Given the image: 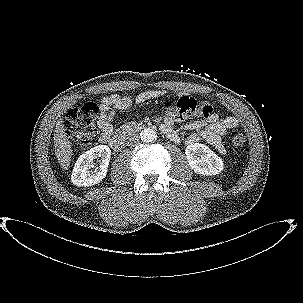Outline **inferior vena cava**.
<instances>
[{"instance_id": "obj_1", "label": "inferior vena cava", "mask_w": 303, "mask_h": 303, "mask_svg": "<svg viewBox=\"0 0 303 303\" xmlns=\"http://www.w3.org/2000/svg\"><path fill=\"white\" fill-rule=\"evenodd\" d=\"M139 141H140V137L135 132H130L129 134L126 135V144L128 146H134L138 144Z\"/></svg>"}]
</instances>
